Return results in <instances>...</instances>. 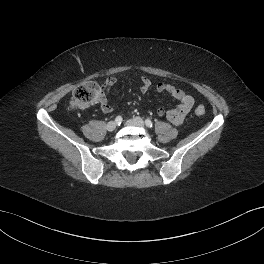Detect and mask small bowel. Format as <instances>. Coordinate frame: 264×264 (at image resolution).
Instances as JSON below:
<instances>
[{"mask_svg":"<svg viewBox=\"0 0 264 264\" xmlns=\"http://www.w3.org/2000/svg\"><path fill=\"white\" fill-rule=\"evenodd\" d=\"M115 84L116 79L113 77L106 79V81L103 83L102 94L98 99V104L101 110L105 113L112 111V106L107 99V94ZM151 85L152 82L150 79L146 77L141 78L140 90L142 93H146L150 89ZM156 89L158 92H166L170 94L179 102L177 107L168 111L162 107L158 108L157 114L159 116H166V118L174 125H180L193 108L195 102L194 98L191 95L185 93L183 90L169 83L159 82L156 85Z\"/></svg>","mask_w":264,"mask_h":264,"instance_id":"obj_1","label":"small bowel"}]
</instances>
